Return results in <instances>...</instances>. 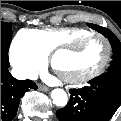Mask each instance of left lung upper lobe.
Wrapping results in <instances>:
<instances>
[{
  "label": "left lung upper lobe",
  "instance_id": "left-lung-upper-lobe-1",
  "mask_svg": "<svg viewBox=\"0 0 121 121\" xmlns=\"http://www.w3.org/2000/svg\"><path fill=\"white\" fill-rule=\"evenodd\" d=\"M88 26L106 36L112 45L114 54L108 72L121 73V43L118 38L109 29L90 23Z\"/></svg>",
  "mask_w": 121,
  "mask_h": 121
}]
</instances>
